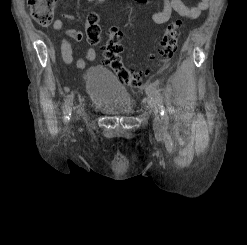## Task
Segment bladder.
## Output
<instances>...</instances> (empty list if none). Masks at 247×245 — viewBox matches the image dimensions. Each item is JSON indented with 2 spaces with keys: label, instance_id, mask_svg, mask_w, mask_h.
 Returning a JSON list of instances; mask_svg holds the SVG:
<instances>
[{
  "label": "bladder",
  "instance_id": "1",
  "mask_svg": "<svg viewBox=\"0 0 247 245\" xmlns=\"http://www.w3.org/2000/svg\"><path fill=\"white\" fill-rule=\"evenodd\" d=\"M90 102L110 115H127L132 111V100L127 88L105 67H92L85 74Z\"/></svg>",
  "mask_w": 247,
  "mask_h": 245
}]
</instances>
